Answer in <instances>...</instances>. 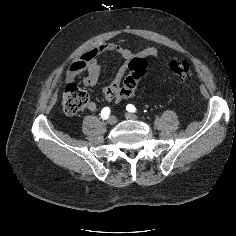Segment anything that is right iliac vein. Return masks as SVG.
<instances>
[{"label": "right iliac vein", "instance_id": "1", "mask_svg": "<svg viewBox=\"0 0 236 236\" xmlns=\"http://www.w3.org/2000/svg\"><path fill=\"white\" fill-rule=\"evenodd\" d=\"M117 122V119L115 116H110L109 119H108V123L110 125H114L115 123Z\"/></svg>", "mask_w": 236, "mask_h": 236}]
</instances>
